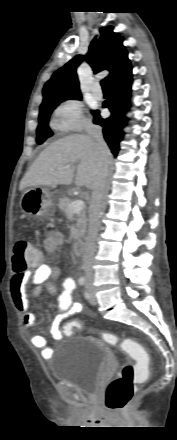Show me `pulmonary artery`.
<instances>
[{"label":"pulmonary artery","mask_w":177,"mask_h":440,"mask_svg":"<svg viewBox=\"0 0 177 440\" xmlns=\"http://www.w3.org/2000/svg\"><path fill=\"white\" fill-rule=\"evenodd\" d=\"M92 95L95 99L100 100L103 97V93L100 91L98 87L92 90Z\"/></svg>","instance_id":"1"}]
</instances>
